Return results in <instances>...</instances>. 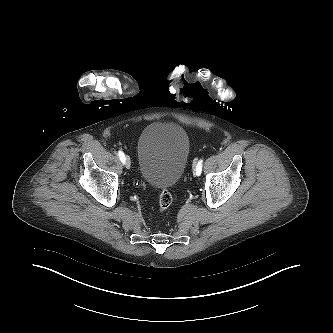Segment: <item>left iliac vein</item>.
I'll list each match as a JSON object with an SVG mask.
<instances>
[{
  "label": "left iliac vein",
  "instance_id": "obj_1",
  "mask_svg": "<svg viewBox=\"0 0 333 333\" xmlns=\"http://www.w3.org/2000/svg\"><path fill=\"white\" fill-rule=\"evenodd\" d=\"M194 174L196 175V171H195V169H194Z\"/></svg>",
  "mask_w": 333,
  "mask_h": 333
}]
</instances>
